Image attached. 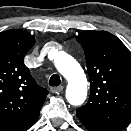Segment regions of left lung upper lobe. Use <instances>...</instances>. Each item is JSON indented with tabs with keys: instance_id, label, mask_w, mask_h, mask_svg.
Listing matches in <instances>:
<instances>
[{
	"instance_id": "obj_1",
	"label": "left lung upper lobe",
	"mask_w": 131,
	"mask_h": 131,
	"mask_svg": "<svg viewBox=\"0 0 131 131\" xmlns=\"http://www.w3.org/2000/svg\"><path fill=\"white\" fill-rule=\"evenodd\" d=\"M90 78L88 102L77 117L89 131H122L131 123V52L106 31L76 37Z\"/></svg>"
}]
</instances>
